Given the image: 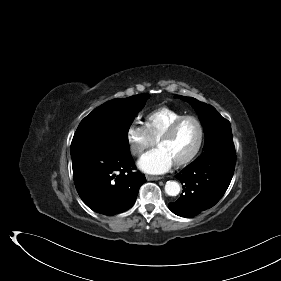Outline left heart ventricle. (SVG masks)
Wrapping results in <instances>:
<instances>
[{
  "instance_id": "1",
  "label": "left heart ventricle",
  "mask_w": 281,
  "mask_h": 281,
  "mask_svg": "<svg viewBox=\"0 0 281 281\" xmlns=\"http://www.w3.org/2000/svg\"><path fill=\"white\" fill-rule=\"evenodd\" d=\"M198 138L199 129L196 122L187 119L180 124L169 140L160 143L158 147L164 150L175 163L187 157L194 150Z\"/></svg>"
}]
</instances>
